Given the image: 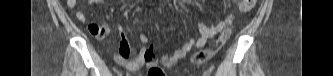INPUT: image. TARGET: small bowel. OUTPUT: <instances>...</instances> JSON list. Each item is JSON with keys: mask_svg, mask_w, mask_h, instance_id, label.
<instances>
[{"mask_svg": "<svg viewBox=\"0 0 333 76\" xmlns=\"http://www.w3.org/2000/svg\"><path fill=\"white\" fill-rule=\"evenodd\" d=\"M88 4H104V0H88ZM230 3V2H228ZM67 6L71 10H75V17L80 22H86L87 18L82 10L78 8L77 0H68ZM195 18L199 37L187 39L180 48L173 51L170 54L163 55L156 58L154 55V47L150 43L149 38L141 34L139 36L140 42L143 44L138 55L134 59H129V46L123 33L119 34L120 41L118 46V52L115 54V62L126 68L128 71L136 72L141 68L146 67V76H166L164 68H169L182 60L188 52L196 47L202 48L206 45L207 41L215 37L219 32L228 27L233 21V14L230 12L227 16L215 26L208 27L201 20ZM88 29L93 34L94 39H101L107 37L111 32V26L109 24H99L96 22H90Z\"/></svg>", "mask_w": 333, "mask_h": 76, "instance_id": "small-bowel-1", "label": "small bowel"}]
</instances>
